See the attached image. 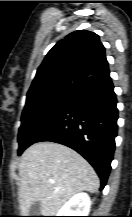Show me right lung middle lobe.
I'll use <instances>...</instances> for the list:
<instances>
[{
  "label": "right lung middle lobe",
  "mask_w": 132,
  "mask_h": 217,
  "mask_svg": "<svg viewBox=\"0 0 132 217\" xmlns=\"http://www.w3.org/2000/svg\"><path fill=\"white\" fill-rule=\"evenodd\" d=\"M76 96L70 92L58 91L27 98L18 134V155L36 142Z\"/></svg>",
  "instance_id": "right-lung-middle-lobe-1"
}]
</instances>
